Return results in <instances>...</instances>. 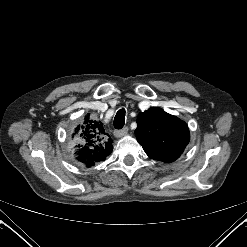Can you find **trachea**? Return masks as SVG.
<instances>
[{
    "label": "trachea",
    "mask_w": 247,
    "mask_h": 247,
    "mask_svg": "<svg viewBox=\"0 0 247 247\" xmlns=\"http://www.w3.org/2000/svg\"><path fill=\"white\" fill-rule=\"evenodd\" d=\"M125 124V110L120 109L114 118V127L116 129H122Z\"/></svg>",
    "instance_id": "trachea-1"
}]
</instances>
